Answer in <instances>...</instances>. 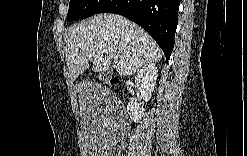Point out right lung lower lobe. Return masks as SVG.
<instances>
[{"mask_svg":"<svg viewBox=\"0 0 247 156\" xmlns=\"http://www.w3.org/2000/svg\"><path fill=\"white\" fill-rule=\"evenodd\" d=\"M178 0H107L97 13L122 15L143 27L158 43L167 60L174 47Z\"/></svg>","mask_w":247,"mask_h":156,"instance_id":"1","label":"right lung lower lobe"}]
</instances>
